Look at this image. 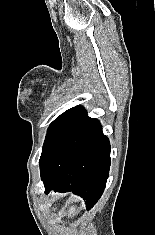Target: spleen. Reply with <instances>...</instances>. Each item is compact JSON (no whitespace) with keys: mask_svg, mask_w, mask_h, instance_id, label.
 <instances>
[{"mask_svg":"<svg viewBox=\"0 0 155 235\" xmlns=\"http://www.w3.org/2000/svg\"><path fill=\"white\" fill-rule=\"evenodd\" d=\"M78 212L76 211V207L75 206H72L70 209H69V216L70 217H74Z\"/></svg>","mask_w":155,"mask_h":235,"instance_id":"obj_1","label":"spleen"}]
</instances>
